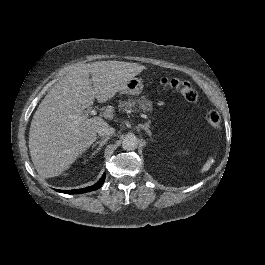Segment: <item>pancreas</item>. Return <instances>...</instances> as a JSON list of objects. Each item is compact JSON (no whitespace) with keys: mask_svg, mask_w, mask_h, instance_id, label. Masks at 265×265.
Wrapping results in <instances>:
<instances>
[{"mask_svg":"<svg viewBox=\"0 0 265 265\" xmlns=\"http://www.w3.org/2000/svg\"><path fill=\"white\" fill-rule=\"evenodd\" d=\"M136 104H138V108H136ZM119 111L123 112H134V111H139L140 109L143 110V112H151L153 107H152V102L147 100L144 96L141 97L140 99H132L129 98L127 101H119L118 105Z\"/></svg>","mask_w":265,"mask_h":265,"instance_id":"cf45deb5","label":"pancreas"}]
</instances>
